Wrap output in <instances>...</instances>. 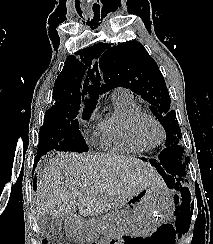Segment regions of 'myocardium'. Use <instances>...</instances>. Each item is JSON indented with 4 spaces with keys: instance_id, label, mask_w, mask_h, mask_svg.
<instances>
[{
    "instance_id": "myocardium-1",
    "label": "myocardium",
    "mask_w": 213,
    "mask_h": 244,
    "mask_svg": "<svg viewBox=\"0 0 213 244\" xmlns=\"http://www.w3.org/2000/svg\"><path fill=\"white\" fill-rule=\"evenodd\" d=\"M147 121L154 123L158 127V129L160 131V138L157 141H152L143 134L142 127H143V124ZM130 129H131L133 136L137 140H139L140 142H142L150 147H154V146L161 144L164 141L165 136H166L165 129H164L162 123L155 116L144 113V112L136 115L132 119L131 124H130Z\"/></svg>"
}]
</instances>
